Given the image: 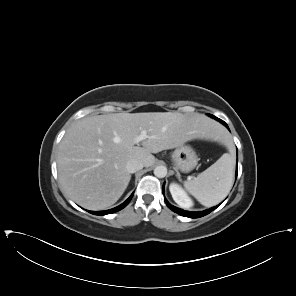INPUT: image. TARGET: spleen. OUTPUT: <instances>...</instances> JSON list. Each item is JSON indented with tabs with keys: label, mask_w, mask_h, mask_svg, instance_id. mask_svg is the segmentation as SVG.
Returning a JSON list of instances; mask_svg holds the SVG:
<instances>
[{
	"label": "spleen",
	"mask_w": 296,
	"mask_h": 296,
	"mask_svg": "<svg viewBox=\"0 0 296 296\" xmlns=\"http://www.w3.org/2000/svg\"><path fill=\"white\" fill-rule=\"evenodd\" d=\"M234 159L223 154L214 164L192 180L184 182L185 189L206 207L220 203L233 185Z\"/></svg>",
	"instance_id": "1"
}]
</instances>
